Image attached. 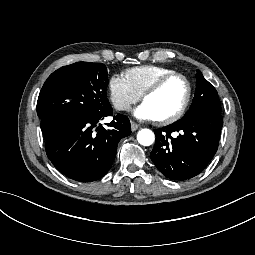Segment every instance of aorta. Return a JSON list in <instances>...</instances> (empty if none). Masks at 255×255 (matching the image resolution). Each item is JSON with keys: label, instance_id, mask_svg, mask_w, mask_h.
Instances as JSON below:
<instances>
[{"label": "aorta", "instance_id": "1", "mask_svg": "<svg viewBox=\"0 0 255 255\" xmlns=\"http://www.w3.org/2000/svg\"><path fill=\"white\" fill-rule=\"evenodd\" d=\"M137 140L143 146H150L153 144L155 136L150 129H142L137 134Z\"/></svg>", "mask_w": 255, "mask_h": 255}]
</instances>
